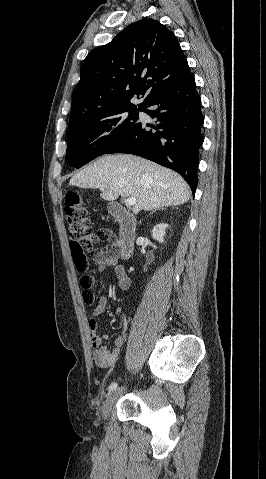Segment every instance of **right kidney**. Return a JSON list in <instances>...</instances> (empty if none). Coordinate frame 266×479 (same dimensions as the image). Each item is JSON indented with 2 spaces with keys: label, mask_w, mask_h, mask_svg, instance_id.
<instances>
[{
  "label": "right kidney",
  "mask_w": 266,
  "mask_h": 479,
  "mask_svg": "<svg viewBox=\"0 0 266 479\" xmlns=\"http://www.w3.org/2000/svg\"><path fill=\"white\" fill-rule=\"evenodd\" d=\"M167 227H168V224H163V223L155 225L151 232L153 239L157 240L159 243H163Z\"/></svg>",
  "instance_id": "1"
}]
</instances>
